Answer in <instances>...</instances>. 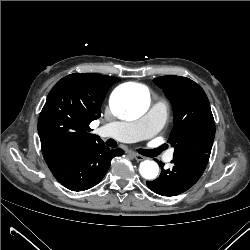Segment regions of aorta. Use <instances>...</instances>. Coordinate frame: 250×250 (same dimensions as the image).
<instances>
[{"mask_svg": "<svg viewBox=\"0 0 250 250\" xmlns=\"http://www.w3.org/2000/svg\"><path fill=\"white\" fill-rule=\"evenodd\" d=\"M150 106L148 91L142 86L120 87L110 98V108L115 116L134 120L146 113ZM140 174L143 178L152 180L159 172L158 164L146 160L140 163Z\"/></svg>", "mask_w": 250, "mask_h": 250, "instance_id": "762f6f07", "label": "aorta"}]
</instances>
